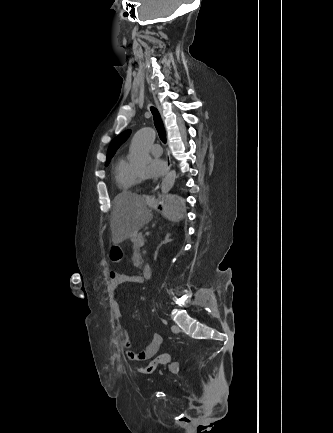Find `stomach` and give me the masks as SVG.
<instances>
[{
    "label": "stomach",
    "mask_w": 333,
    "mask_h": 433,
    "mask_svg": "<svg viewBox=\"0 0 333 433\" xmlns=\"http://www.w3.org/2000/svg\"><path fill=\"white\" fill-rule=\"evenodd\" d=\"M165 201L164 206L160 207L164 220H181L182 215H185L186 212V201H181L176 195H167ZM152 204L155 208H159L158 202L153 201Z\"/></svg>",
    "instance_id": "0dacf381"
}]
</instances>
